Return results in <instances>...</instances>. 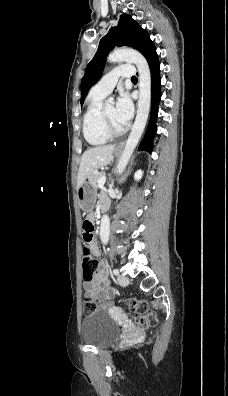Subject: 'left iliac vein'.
I'll return each mask as SVG.
<instances>
[{
	"mask_svg": "<svg viewBox=\"0 0 228 396\" xmlns=\"http://www.w3.org/2000/svg\"><path fill=\"white\" fill-rule=\"evenodd\" d=\"M118 283L122 286H126L129 283V279L125 275H119L118 276Z\"/></svg>",
	"mask_w": 228,
	"mask_h": 396,
	"instance_id": "obj_1",
	"label": "left iliac vein"
}]
</instances>
